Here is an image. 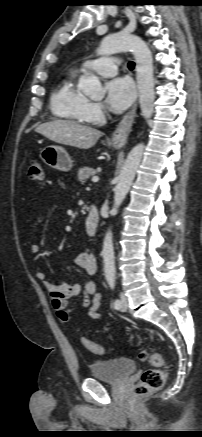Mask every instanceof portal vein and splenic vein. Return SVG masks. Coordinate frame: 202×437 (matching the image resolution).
Segmentation results:
<instances>
[{
    "label": "portal vein and splenic vein",
    "mask_w": 202,
    "mask_h": 437,
    "mask_svg": "<svg viewBox=\"0 0 202 437\" xmlns=\"http://www.w3.org/2000/svg\"><path fill=\"white\" fill-rule=\"evenodd\" d=\"M98 180H99V177H97V176H94V177L92 178V181H93V182H98Z\"/></svg>",
    "instance_id": "1"
}]
</instances>
